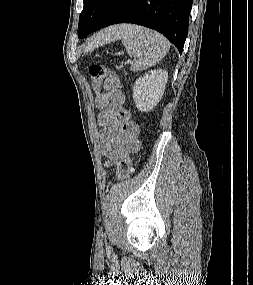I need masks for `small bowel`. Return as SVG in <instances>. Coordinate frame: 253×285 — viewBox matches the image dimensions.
Masks as SVG:
<instances>
[{
  "instance_id": "1",
  "label": "small bowel",
  "mask_w": 253,
  "mask_h": 285,
  "mask_svg": "<svg viewBox=\"0 0 253 285\" xmlns=\"http://www.w3.org/2000/svg\"><path fill=\"white\" fill-rule=\"evenodd\" d=\"M124 103L125 96L118 88L117 78L108 77L104 92L96 98V106L101 110L98 123L107 166L115 164L128 149L136 151L140 146L138 126L123 110Z\"/></svg>"
}]
</instances>
